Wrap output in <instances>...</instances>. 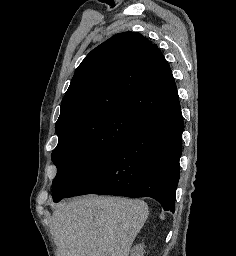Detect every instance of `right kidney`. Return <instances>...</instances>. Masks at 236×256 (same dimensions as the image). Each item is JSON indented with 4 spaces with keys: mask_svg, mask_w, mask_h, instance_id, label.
<instances>
[{
    "mask_svg": "<svg viewBox=\"0 0 236 256\" xmlns=\"http://www.w3.org/2000/svg\"><path fill=\"white\" fill-rule=\"evenodd\" d=\"M144 254V246L143 244H139V246H134L131 256H144Z\"/></svg>",
    "mask_w": 236,
    "mask_h": 256,
    "instance_id": "right-kidney-1",
    "label": "right kidney"
}]
</instances>
